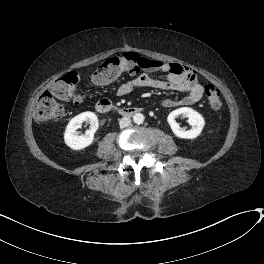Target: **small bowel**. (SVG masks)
<instances>
[{"mask_svg":"<svg viewBox=\"0 0 264 264\" xmlns=\"http://www.w3.org/2000/svg\"><path fill=\"white\" fill-rule=\"evenodd\" d=\"M141 65L144 71L163 73L165 80L156 79L148 74L139 75L122 84L117 89L118 95H128L139 88H153L185 94L181 99H162L161 103L166 107L193 105L203 97L204 88L197 81L191 68L181 64L164 63L156 59H143Z\"/></svg>","mask_w":264,"mask_h":264,"instance_id":"1","label":"small bowel"}]
</instances>
